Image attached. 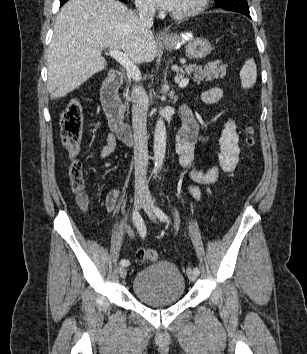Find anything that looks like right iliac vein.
I'll return each mask as SVG.
<instances>
[{"label":"right iliac vein","mask_w":307,"mask_h":354,"mask_svg":"<svg viewBox=\"0 0 307 354\" xmlns=\"http://www.w3.org/2000/svg\"><path fill=\"white\" fill-rule=\"evenodd\" d=\"M145 200L146 199L143 196L137 195L135 197V201H134L135 208L136 209H141L144 206V204H145ZM118 270H119L120 277L121 278H125L126 275H127L126 267L121 265Z\"/></svg>","instance_id":"right-iliac-vein-1"}]
</instances>
